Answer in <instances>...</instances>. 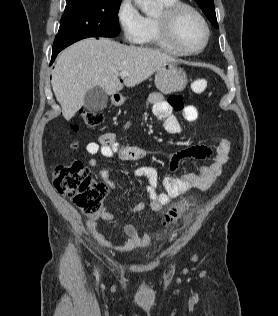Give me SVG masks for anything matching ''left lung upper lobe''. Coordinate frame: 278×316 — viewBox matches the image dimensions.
Here are the masks:
<instances>
[{"label": "left lung upper lobe", "instance_id": "left-lung-upper-lobe-1", "mask_svg": "<svg viewBox=\"0 0 278 316\" xmlns=\"http://www.w3.org/2000/svg\"><path fill=\"white\" fill-rule=\"evenodd\" d=\"M215 28H219L213 0H195Z\"/></svg>", "mask_w": 278, "mask_h": 316}]
</instances>
